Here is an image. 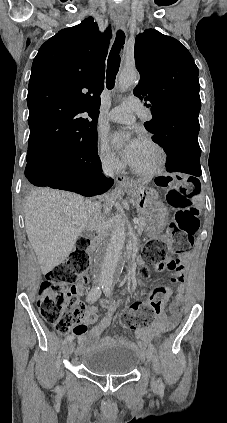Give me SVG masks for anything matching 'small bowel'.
<instances>
[{
    "label": "small bowel",
    "instance_id": "small-bowel-1",
    "mask_svg": "<svg viewBox=\"0 0 227 423\" xmlns=\"http://www.w3.org/2000/svg\"><path fill=\"white\" fill-rule=\"evenodd\" d=\"M141 265H144L142 260H139ZM183 264V263H182ZM184 266V265H183ZM147 285V283H144ZM83 289L79 287L78 293L81 294ZM183 289L179 288L175 299L170 304V316L163 312L156 315L151 325L140 328L135 331V335L140 340L139 344L145 347L151 339L171 331L179 322L183 306ZM100 306L107 310V313L100 319L90 331H87V326L95 323L99 317V309L97 305H92L85 308L84 319L81 323L73 328V334L77 336L79 350L84 352L88 350L89 344L96 341L102 332L111 324L112 316L119 307V302L112 300H102ZM112 339H105L104 343L112 342Z\"/></svg>",
    "mask_w": 227,
    "mask_h": 423
}]
</instances>
